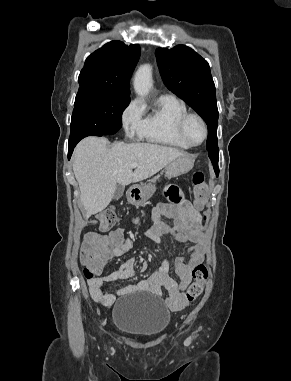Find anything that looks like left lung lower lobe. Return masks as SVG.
Segmentation results:
<instances>
[{"instance_id":"obj_1","label":"left lung lower lobe","mask_w":291,"mask_h":381,"mask_svg":"<svg viewBox=\"0 0 291 381\" xmlns=\"http://www.w3.org/2000/svg\"><path fill=\"white\" fill-rule=\"evenodd\" d=\"M212 164H213V167H214V171H215L216 175L218 176V174H219L218 163H212Z\"/></svg>"}]
</instances>
